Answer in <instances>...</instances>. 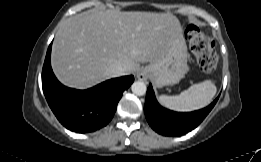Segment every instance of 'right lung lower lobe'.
Returning a JSON list of instances; mask_svg holds the SVG:
<instances>
[{
	"label": "right lung lower lobe",
	"instance_id": "right-lung-lower-lobe-1",
	"mask_svg": "<svg viewBox=\"0 0 261 162\" xmlns=\"http://www.w3.org/2000/svg\"><path fill=\"white\" fill-rule=\"evenodd\" d=\"M51 45L43 65L42 88L52 112L64 127L77 133H89L105 127L134 77L130 75L107 80L87 90L68 88L56 79L52 71Z\"/></svg>",
	"mask_w": 261,
	"mask_h": 162
}]
</instances>
